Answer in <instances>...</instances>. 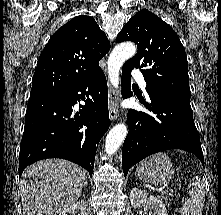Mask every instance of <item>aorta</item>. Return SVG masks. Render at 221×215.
<instances>
[{"label": "aorta", "mask_w": 221, "mask_h": 215, "mask_svg": "<svg viewBox=\"0 0 221 215\" xmlns=\"http://www.w3.org/2000/svg\"><path fill=\"white\" fill-rule=\"evenodd\" d=\"M137 49L131 42L120 43L114 47L108 58V76L111 84L118 88L119 73L122 65L129 58L134 56ZM128 132L127 125L120 123L115 125L107 134L105 141V151L108 155H113L123 143Z\"/></svg>", "instance_id": "aorta-1"}]
</instances>
